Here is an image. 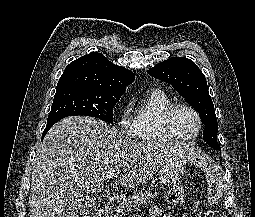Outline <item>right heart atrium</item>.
<instances>
[{"instance_id":"obj_1","label":"right heart atrium","mask_w":255,"mask_h":217,"mask_svg":"<svg viewBox=\"0 0 255 217\" xmlns=\"http://www.w3.org/2000/svg\"><path fill=\"white\" fill-rule=\"evenodd\" d=\"M119 130L123 135L134 136L135 123L131 114V105H125L119 114Z\"/></svg>"}]
</instances>
